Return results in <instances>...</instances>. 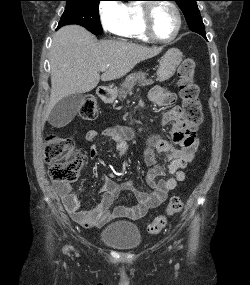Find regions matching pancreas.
I'll use <instances>...</instances> for the list:
<instances>
[{
  "label": "pancreas",
  "mask_w": 250,
  "mask_h": 285,
  "mask_svg": "<svg viewBox=\"0 0 250 285\" xmlns=\"http://www.w3.org/2000/svg\"><path fill=\"white\" fill-rule=\"evenodd\" d=\"M154 82L152 79H147V74L142 71H137L129 74L125 81L121 84L119 89L118 98L120 100L125 99L127 94L131 92L135 85L147 86L152 85Z\"/></svg>",
  "instance_id": "obj_1"
}]
</instances>
